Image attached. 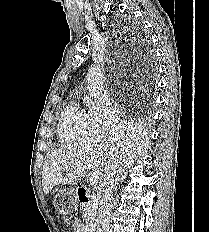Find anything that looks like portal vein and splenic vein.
Instances as JSON below:
<instances>
[{
    "mask_svg": "<svg viewBox=\"0 0 209 232\" xmlns=\"http://www.w3.org/2000/svg\"><path fill=\"white\" fill-rule=\"evenodd\" d=\"M87 169H89L91 171V185L92 186H96L98 181H99V173L93 171L91 169V166H86Z\"/></svg>",
    "mask_w": 209,
    "mask_h": 232,
    "instance_id": "18ae733b",
    "label": "portal vein and splenic vein"
}]
</instances>
